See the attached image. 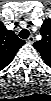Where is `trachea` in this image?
Instances as JSON below:
<instances>
[{
	"label": "trachea",
	"instance_id": "3493384b",
	"mask_svg": "<svg viewBox=\"0 0 51 101\" xmlns=\"http://www.w3.org/2000/svg\"><path fill=\"white\" fill-rule=\"evenodd\" d=\"M20 38L27 39L29 37V31L27 29H22L19 33Z\"/></svg>",
	"mask_w": 51,
	"mask_h": 101
}]
</instances>
